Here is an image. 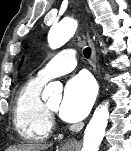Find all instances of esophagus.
<instances>
[{"instance_id": "esophagus-1", "label": "esophagus", "mask_w": 131, "mask_h": 151, "mask_svg": "<svg viewBox=\"0 0 131 151\" xmlns=\"http://www.w3.org/2000/svg\"><path fill=\"white\" fill-rule=\"evenodd\" d=\"M89 43L91 45V62H92V67L94 69V71H96V63H97V60H96V51H95V46H94V43L92 42L91 38H89ZM78 142L77 140L75 139H71L69 140L68 142H66L64 144V149L65 150H72L74 149L76 146H77Z\"/></svg>"}]
</instances>
